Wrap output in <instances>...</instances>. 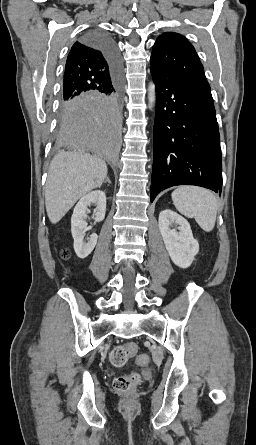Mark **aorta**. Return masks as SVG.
I'll return each instance as SVG.
<instances>
[{
    "instance_id": "aorta-1",
    "label": "aorta",
    "mask_w": 256,
    "mask_h": 445,
    "mask_svg": "<svg viewBox=\"0 0 256 445\" xmlns=\"http://www.w3.org/2000/svg\"><path fill=\"white\" fill-rule=\"evenodd\" d=\"M148 100H149V107L152 109V107L155 104L156 101V92H155V85L154 83H150L148 87Z\"/></svg>"
}]
</instances>
